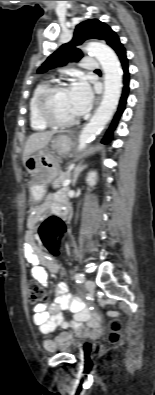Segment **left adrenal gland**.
I'll use <instances>...</instances> for the list:
<instances>
[{
	"label": "left adrenal gland",
	"mask_w": 155,
	"mask_h": 395,
	"mask_svg": "<svg viewBox=\"0 0 155 395\" xmlns=\"http://www.w3.org/2000/svg\"><path fill=\"white\" fill-rule=\"evenodd\" d=\"M87 167V165H83L82 163L78 164L73 170V180L72 186H75L76 181L78 179L79 174Z\"/></svg>",
	"instance_id": "obj_1"
}]
</instances>
